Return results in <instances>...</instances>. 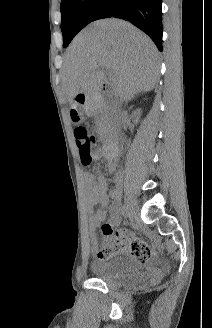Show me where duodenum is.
I'll return each mask as SVG.
<instances>
[{
	"instance_id": "obj_1",
	"label": "duodenum",
	"mask_w": 212,
	"mask_h": 328,
	"mask_svg": "<svg viewBox=\"0 0 212 328\" xmlns=\"http://www.w3.org/2000/svg\"><path fill=\"white\" fill-rule=\"evenodd\" d=\"M102 95H109L107 87H103ZM78 105L86 111H92L98 105V97L93 95H83L78 99ZM118 152V140L116 138L109 139L103 148L104 156L109 160V168H115V161Z\"/></svg>"
}]
</instances>
